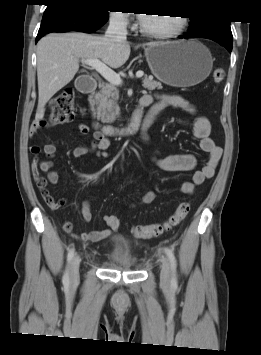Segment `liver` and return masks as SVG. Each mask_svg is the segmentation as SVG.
Listing matches in <instances>:
<instances>
[{
  "instance_id": "liver-1",
  "label": "liver",
  "mask_w": 261,
  "mask_h": 355,
  "mask_svg": "<svg viewBox=\"0 0 261 355\" xmlns=\"http://www.w3.org/2000/svg\"><path fill=\"white\" fill-rule=\"evenodd\" d=\"M129 56L130 44L127 41L112 42L105 36L74 32L52 33L43 37L37 44L39 97L36 116L43 118L46 103L72 81L80 59H100L111 68H119Z\"/></svg>"
}]
</instances>
